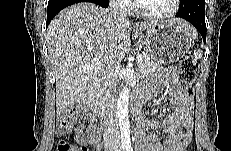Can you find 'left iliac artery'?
Here are the masks:
<instances>
[{"mask_svg":"<svg viewBox=\"0 0 231 151\" xmlns=\"http://www.w3.org/2000/svg\"><path fill=\"white\" fill-rule=\"evenodd\" d=\"M126 150L127 151H133V148L130 144L126 145Z\"/></svg>","mask_w":231,"mask_h":151,"instance_id":"obj_1","label":"left iliac artery"}]
</instances>
